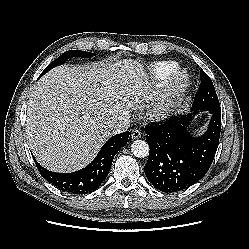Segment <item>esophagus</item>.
<instances>
[{
	"mask_svg": "<svg viewBox=\"0 0 249 249\" xmlns=\"http://www.w3.org/2000/svg\"><path fill=\"white\" fill-rule=\"evenodd\" d=\"M141 137V132L138 129H133L131 132L132 139H138Z\"/></svg>",
	"mask_w": 249,
	"mask_h": 249,
	"instance_id": "34e87169",
	"label": "esophagus"
}]
</instances>
